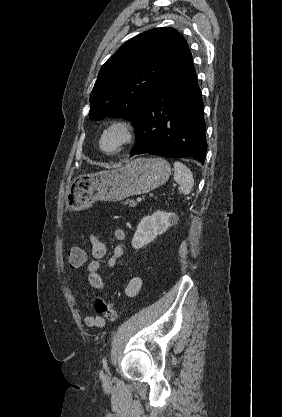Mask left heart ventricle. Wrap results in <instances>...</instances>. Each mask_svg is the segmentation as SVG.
Instances as JSON below:
<instances>
[{
  "label": "left heart ventricle",
  "mask_w": 282,
  "mask_h": 417,
  "mask_svg": "<svg viewBox=\"0 0 282 417\" xmlns=\"http://www.w3.org/2000/svg\"><path fill=\"white\" fill-rule=\"evenodd\" d=\"M118 141V136L115 134H110L106 136L103 140V146L107 150H112L115 146V144Z\"/></svg>",
  "instance_id": "obj_1"
}]
</instances>
